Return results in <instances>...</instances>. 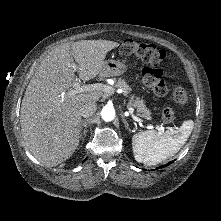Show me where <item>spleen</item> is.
Masks as SVG:
<instances>
[{"label":"spleen","mask_w":221,"mask_h":221,"mask_svg":"<svg viewBox=\"0 0 221 221\" xmlns=\"http://www.w3.org/2000/svg\"><path fill=\"white\" fill-rule=\"evenodd\" d=\"M193 128V120H186L175 131L167 130L160 134L147 130L134 134L132 149L135 160L150 166L174 156L186 143Z\"/></svg>","instance_id":"1"}]
</instances>
